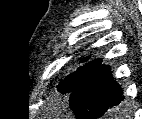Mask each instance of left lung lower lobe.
Masks as SVG:
<instances>
[{"instance_id":"1","label":"left lung lower lobe","mask_w":142,"mask_h":119,"mask_svg":"<svg viewBox=\"0 0 142 119\" xmlns=\"http://www.w3.org/2000/svg\"><path fill=\"white\" fill-rule=\"evenodd\" d=\"M122 93L109 67L99 63L71 92L69 104L76 119H98L121 103Z\"/></svg>"}]
</instances>
